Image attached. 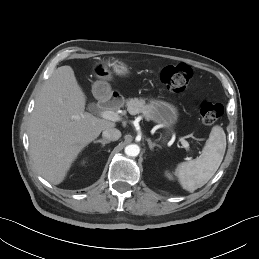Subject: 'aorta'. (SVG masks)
Instances as JSON below:
<instances>
[{
	"instance_id": "1",
	"label": "aorta",
	"mask_w": 259,
	"mask_h": 259,
	"mask_svg": "<svg viewBox=\"0 0 259 259\" xmlns=\"http://www.w3.org/2000/svg\"><path fill=\"white\" fill-rule=\"evenodd\" d=\"M140 152V148L136 144H130L125 147V154L127 156L136 157Z\"/></svg>"
}]
</instances>
